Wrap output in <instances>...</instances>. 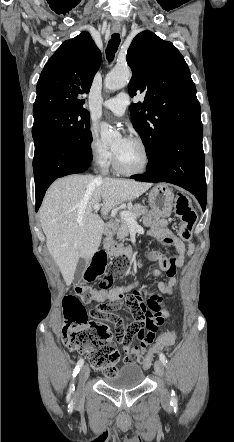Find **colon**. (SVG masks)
Wrapping results in <instances>:
<instances>
[{"instance_id": "5ec220e1", "label": "colon", "mask_w": 234, "mask_h": 442, "mask_svg": "<svg viewBox=\"0 0 234 442\" xmlns=\"http://www.w3.org/2000/svg\"><path fill=\"white\" fill-rule=\"evenodd\" d=\"M175 211L181 222L179 235L183 240H188L197 217L186 194L177 193ZM165 242L169 243L168 240ZM128 266L129 260L125 257L115 258L108 265L106 254L96 253L84 274V283L76 286L75 295L63 301L65 322L62 335L65 343L72 350L85 355L94 368L102 370L107 376L116 374L119 357L112 340V331L106 334L104 331L87 328V319H90L92 314H102L101 309L106 305L111 309L126 306L133 316L134 314H162L164 309L162 298L157 293L148 296L143 290H137L127 295L120 288H112L113 282L124 274ZM153 273L156 275L158 271L154 270ZM95 281L98 283L94 287L86 284ZM89 303H94L96 308L88 313L84 305ZM175 339L176 333L171 331L156 340L155 345H152L146 354L142 368L149 370L151 362L155 360L154 356L163 352L164 347L172 345Z\"/></svg>"}]
</instances>
